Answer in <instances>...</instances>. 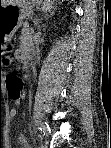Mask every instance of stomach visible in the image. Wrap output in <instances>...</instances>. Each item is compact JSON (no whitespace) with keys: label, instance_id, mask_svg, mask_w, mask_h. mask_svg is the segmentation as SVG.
I'll return each instance as SVG.
<instances>
[{"label":"stomach","instance_id":"obj_1","mask_svg":"<svg viewBox=\"0 0 111 148\" xmlns=\"http://www.w3.org/2000/svg\"><path fill=\"white\" fill-rule=\"evenodd\" d=\"M31 3H37V1L24 0L21 5L0 6V48L3 50L22 24L24 6Z\"/></svg>","mask_w":111,"mask_h":148}]
</instances>
